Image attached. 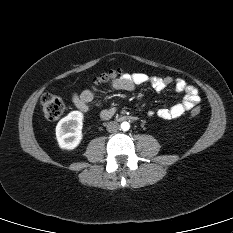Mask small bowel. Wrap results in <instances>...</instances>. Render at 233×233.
I'll return each mask as SVG.
<instances>
[{"mask_svg":"<svg viewBox=\"0 0 233 233\" xmlns=\"http://www.w3.org/2000/svg\"><path fill=\"white\" fill-rule=\"evenodd\" d=\"M146 83L150 84L157 92H161L170 84H174L176 92L185 94L181 102L171 107L149 111L150 116L156 115L165 120L175 119L182 116L200 101L198 90L182 78L149 76L145 73H133L125 74L122 77L115 79L112 81L111 86L117 90L134 91L137 86ZM94 91V89H85L79 93H74L72 95L74 105L82 112H88L90 110V104L94 98ZM115 112L116 109L113 107L105 109L101 112V117L103 119H109Z\"/></svg>","mask_w":233,"mask_h":233,"instance_id":"1","label":"small bowel"}]
</instances>
